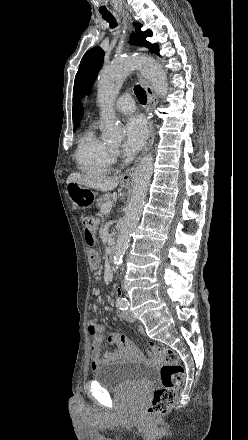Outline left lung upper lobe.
Segmentation results:
<instances>
[{
  "instance_id": "5c2ea615",
  "label": "left lung upper lobe",
  "mask_w": 248,
  "mask_h": 440,
  "mask_svg": "<svg viewBox=\"0 0 248 440\" xmlns=\"http://www.w3.org/2000/svg\"><path fill=\"white\" fill-rule=\"evenodd\" d=\"M135 27L136 34L131 37L132 40L130 43L141 46L144 45L149 48L151 52L159 55L158 45H151V43L146 41V37L151 36L152 32L150 30L141 32V25L137 23L135 24ZM104 54V51L100 47H94L87 51L83 56L74 82V91L76 93L79 92L80 96L83 97L86 93H89L97 74L102 67Z\"/></svg>"
}]
</instances>
